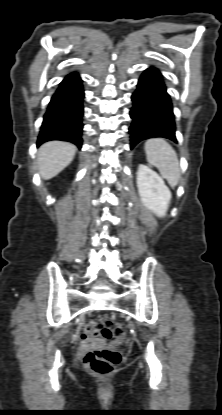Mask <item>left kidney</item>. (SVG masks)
Wrapping results in <instances>:
<instances>
[{
    "label": "left kidney",
    "instance_id": "obj_1",
    "mask_svg": "<svg viewBox=\"0 0 222 415\" xmlns=\"http://www.w3.org/2000/svg\"><path fill=\"white\" fill-rule=\"evenodd\" d=\"M137 187L142 203L158 217H164L171 199V192L163 179L152 169L139 165Z\"/></svg>",
    "mask_w": 222,
    "mask_h": 415
}]
</instances>
